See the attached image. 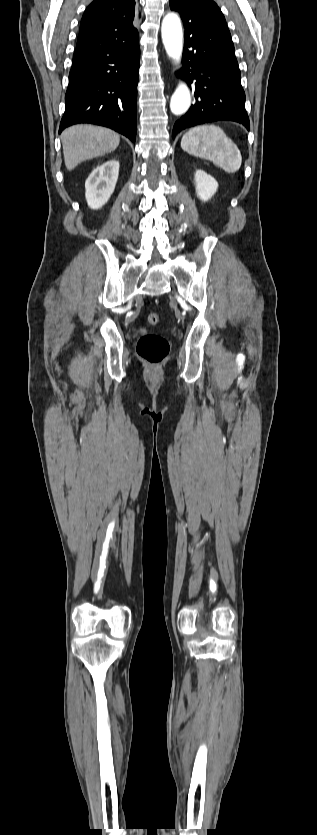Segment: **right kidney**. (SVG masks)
Segmentation results:
<instances>
[{"instance_id": "right-kidney-1", "label": "right kidney", "mask_w": 317, "mask_h": 835, "mask_svg": "<svg viewBox=\"0 0 317 835\" xmlns=\"http://www.w3.org/2000/svg\"><path fill=\"white\" fill-rule=\"evenodd\" d=\"M119 162L108 160L97 166L85 182V197L91 209L101 208L111 197L119 174Z\"/></svg>"}]
</instances>
